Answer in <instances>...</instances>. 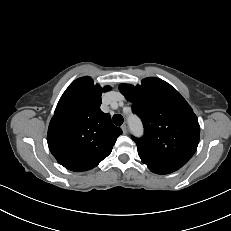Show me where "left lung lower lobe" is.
<instances>
[{
  "label": "left lung lower lobe",
  "instance_id": "1",
  "mask_svg": "<svg viewBox=\"0 0 231 231\" xmlns=\"http://www.w3.org/2000/svg\"><path fill=\"white\" fill-rule=\"evenodd\" d=\"M149 169L152 172L157 173V174H168V173H171V172L161 171V170H158V169H152V168H149Z\"/></svg>",
  "mask_w": 231,
  "mask_h": 231
}]
</instances>
